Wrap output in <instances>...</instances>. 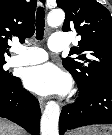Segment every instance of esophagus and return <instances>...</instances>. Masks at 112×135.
<instances>
[{
    "instance_id": "obj_1",
    "label": "esophagus",
    "mask_w": 112,
    "mask_h": 135,
    "mask_svg": "<svg viewBox=\"0 0 112 135\" xmlns=\"http://www.w3.org/2000/svg\"><path fill=\"white\" fill-rule=\"evenodd\" d=\"M39 2L43 7H45V8L47 7L46 0H40ZM39 104H40V108L43 109L45 106V101L43 99H40Z\"/></svg>"
}]
</instances>
